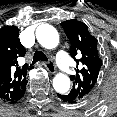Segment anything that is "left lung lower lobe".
I'll return each instance as SVG.
<instances>
[{"label":"left lung lower lobe","instance_id":"obj_1","mask_svg":"<svg viewBox=\"0 0 117 117\" xmlns=\"http://www.w3.org/2000/svg\"><path fill=\"white\" fill-rule=\"evenodd\" d=\"M58 97L63 101V102H66V103H76L77 100L76 98H74L72 95L70 94H58Z\"/></svg>","mask_w":117,"mask_h":117}]
</instances>
